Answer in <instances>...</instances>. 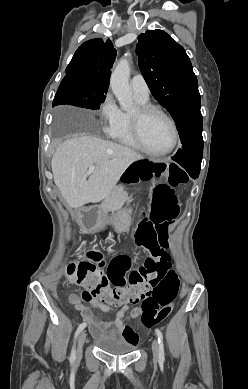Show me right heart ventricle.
Here are the masks:
<instances>
[{
	"label": "right heart ventricle",
	"mask_w": 248,
	"mask_h": 389,
	"mask_svg": "<svg viewBox=\"0 0 248 389\" xmlns=\"http://www.w3.org/2000/svg\"><path fill=\"white\" fill-rule=\"evenodd\" d=\"M138 99L139 104H148V99ZM116 141L120 142L123 145H126L128 147L141 150L140 146L136 142L133 134H132V128H131V113L128 112H122L121 113V119L118 124V127L116 128L115 132L111 136Z\"/></svg>",
	"instance_id": "1"
}]
</instances>
